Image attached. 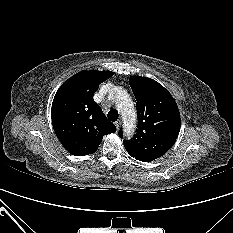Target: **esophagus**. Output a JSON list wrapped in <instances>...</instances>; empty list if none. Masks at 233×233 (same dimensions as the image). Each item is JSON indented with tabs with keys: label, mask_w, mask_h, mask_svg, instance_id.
Instances as JSON below:
<instances>
[{
	"label": "esophagus",
	"mask_w": 233,
	"mask_h": 233,
	"mask_svg": "<svg viewBox=\"0 0 233 233\" xmlns=\"http://www.w3.org/2000/svg\"><path fill=\"white\" fill-rule=\"evenodd\" d=\"M120 125H121V121H120V120H117V121L115 122L116 128L119 129Z\"/></svg>",
	"instance_id": "34e87169"
}]
</instances>
